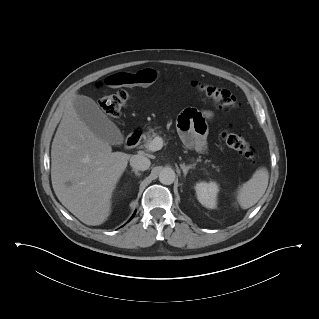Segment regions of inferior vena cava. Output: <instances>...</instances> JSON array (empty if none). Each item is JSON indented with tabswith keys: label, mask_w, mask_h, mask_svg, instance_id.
Returning a JSON list of instances; mask_svg holds the SVG:
<instances>
[{
	"label": "inferior vena cava",
	"mask_w": 319,
	"mask_h": 319,
	"mask_svg": "<svg viewBox=\"0 0 319 319\" xmlns=\"http://www.w3.org/2000/svg\"><path fill=\"white\" fill-rule=\"evenodd\" d=\"M150 160L142 155H133L130 158V165L135 170L145 171L150 167Z\"/></svg>",
	"instance_id": "inferior-vena-cava-1"
}]
</instances>
